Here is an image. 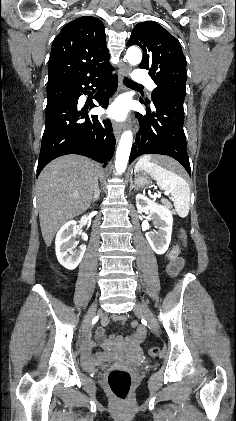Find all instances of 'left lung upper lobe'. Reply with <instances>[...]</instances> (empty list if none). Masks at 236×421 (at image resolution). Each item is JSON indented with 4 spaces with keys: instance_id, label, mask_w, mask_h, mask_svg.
I'll return each instance as SVG.
<instances>
[{
    "instance_id": "obj_1",
    "label": "left lung upper lobe",
    "mask_w": 236,
    "mask_h": 421,
    "mask_svg": "<svg viewBox=\"0 0 236 421\" xmlns=\"http://www.w3.org/2000/svg\"><path fill=\"white\" fill-rule=\"evenodd\" d=\"M128 46L138 45L143 50L139 67L149 70L157 87L152 92V102L164 92L186 93V60L180 43L166 29L155 22L138 23L130 36ZM150 103L148 98L140 99Z\"/></svg>"
}]
</instances>
